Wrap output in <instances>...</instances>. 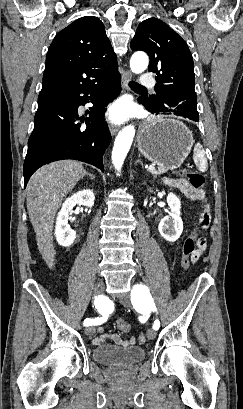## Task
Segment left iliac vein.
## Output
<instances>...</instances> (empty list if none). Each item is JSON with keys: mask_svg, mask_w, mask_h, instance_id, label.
<instances>
[{"mask_svg": "<svg viewBox=\"0 0 243 409\" xmlns=\"http://www.w3.org/2000/svg\"><path fill=\"white\" fill-rule=\"evenodd\" d=\"M120 301H121V303H122L124 306H127V307H128V306L131 305V303H130V298H129V296H127V295L123 296ZM146 335H147V338H148V339H154V338L156 337V331H155V329L149 328V329L147 330V332H146Z\"/></svg>", "mask_w": 243, "mask_h": 409, "instance_id": "4c4485c4", "label": "left iliac vein"}]
</instances>
